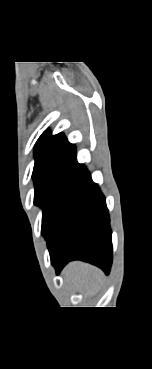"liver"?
Segmentation results:
<instances>
[{
	"instance_id": "1",
	"label": "liver",
	"mask_w": 152,
	"mask_h": 369,
	"mask_svg": "<svg viewBox=\"0 0 152 369\" xmlns=\"http://www.w3.org/2000/svg\"><path fill=\"white\" fill-rule=\"evenodd\" d=\"M64 278L72 281L80 292L94 295L102 281V272L89 264L72 262L63 271Z\"/></svg>"
}]
</instances>
